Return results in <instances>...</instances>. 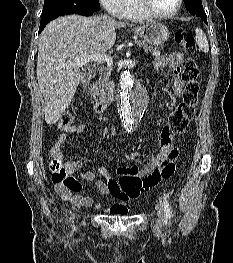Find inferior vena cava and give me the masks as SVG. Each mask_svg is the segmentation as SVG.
Returning a JSON list of instances; mask_svg holds the SVG:
<instances>
[{"label":"inferior vena cava","mask_w":233,"mask_h":263,"mask_svg":"<svg viewBox=\"0 0 233 263\" xmlns=\"http://www.w3.org/2000/svg\"><path fill=\"white\" fill-rule=\"evenodd\" d=\"M105 18H108L109 20H113V19H111V18H109V17H107V16H105Z\"/></svg>","instance_id":"obj_1"}]
</instances>
